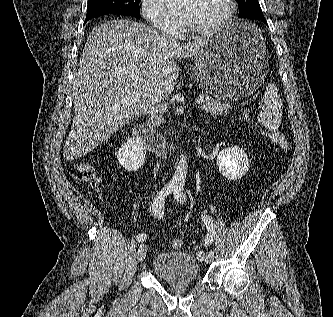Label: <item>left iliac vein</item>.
<instances>
[{
    "instance_id": "4c4485c4",
    "label": "left iliac vein",
    "mask_w": 333,
    "mask_h": 317,
    "mask_svg": "<svg viewBox=\"0 0 333 317\" xmlns=\"http://www.w3.org/2000/svg\"><path fill=\"white\" fill-rule=\"evenodd\" d=\"M213 258H214L213 252H209L205 257V262L206 263H211L213 261Z\"/></svg>"
}]
</instances>
